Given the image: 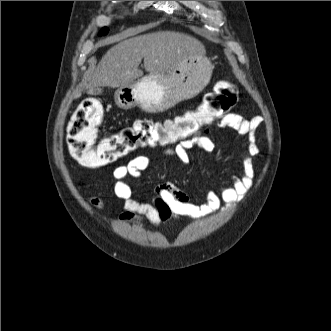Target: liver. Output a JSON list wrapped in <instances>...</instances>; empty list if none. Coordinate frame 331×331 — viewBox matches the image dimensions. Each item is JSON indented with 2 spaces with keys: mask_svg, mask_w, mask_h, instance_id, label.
<instances>
[{
  "mask_svg": "<svg viewBox=\"0 0 331 331\" xmlns=\"http://www.w3.org/2000/svg\"><path fill=\"white\" fill-rule=\"evenodd\" d=\"M196 54H205L204 45L180 32L158 31L121 40L102 57L86 88L92 91L131 84L143 76L139 69L142 59L147 72L166 76Z\"/></svg>",
  "mask_w": 331,
  "mask_h": 331,
  "instance_id": "6515ba94",
  "label": "liver"
}]
</instances>
